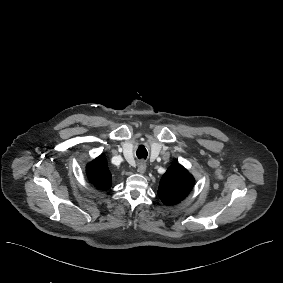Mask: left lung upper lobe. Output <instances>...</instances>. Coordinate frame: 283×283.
<instances>
[{"label":"left lung upper lobe","mask_w":283,"mask_h":283,"mask_svg":"<svg viewBox=\"0 0 283 283\" xmlns=\"http://www.w3.org/2000/svg\"><path fill=\"white\" fill-rule=\"evenodd\" d=\"M194 178L181 165H171L162 176L158 195L166 205H174L182 201L191 191Z\"/></svg>","instance_id":"obj_1"}]
</instances>
